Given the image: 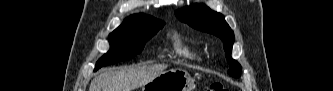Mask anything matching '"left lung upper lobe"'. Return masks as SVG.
Instances as JSON below:
<instances>
[{
	"label": "left lung upper lobe",
	"instance_id": "left-lung-upper-lobe-1",
	"mask_svg": "<svg viewBox=\"0 0 333 91\" xmlns=\"http://www.w3.org/2000/svg\"><path fill=\"white\" fill-rule=\"evenodd\" d=\"M175 15L193 28L219 37L224 42L223 47L230 65L228 73L233 77L240 76L241 66L231 57L234 33L222 14L212 11L204 4H194L177 10Z\"/></svg>",
	"mask_w": 333,
	"mask_h": 91
}]
</instances>
